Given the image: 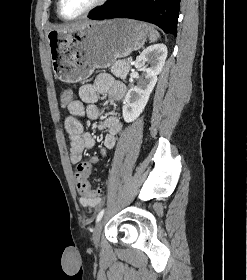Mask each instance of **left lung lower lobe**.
Returning <instances> with one entry per match:
<instances>
[{
    "label": "left lung lower lobe",
    "instance_id": "0a47b994",
    "mask_svg": "<svg viewBox=\"0 0 247 280\" xmlns=\"http://www.w3.org/2000/svg\"><path fill=\"white\" fill-rule=\"evenodd\" d=\"M181 0H108L89 18L95 20L131 18L159 26L165 33L177 35Z\"/></svg>",
    "mask_w": 247,
    "mask_h": 280
}]
</instances>
